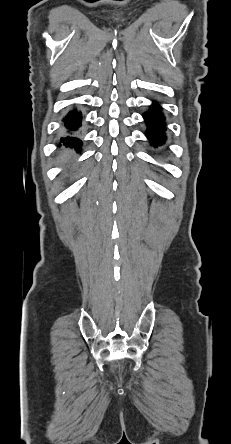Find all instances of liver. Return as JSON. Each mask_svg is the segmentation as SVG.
Returning <instances> with one entry per match:
<instances>
[{
    "label": "liver",
    "instance_id": "obj_1",
    "mask_svg": "<svg viewBox=\"0 0 231 444\" xmlns=\"http://www.w3.org/2000/svg\"><path fill=\"white\" fill-rule=\"evenodd\" d=\"M71 155L72 152L70 150H64L60 155L59 162L61 164L69 163L71 160Z\"/></svg>",
    "mask_w": 231,
    "mask_h": 444
}]
</instances>
